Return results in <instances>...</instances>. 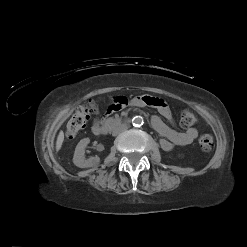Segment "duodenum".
<instances>
[{"instance_id": "410a0bca", "label": "duodenum", "mask_w": 247, "mask_h": 247, "mask_svg": "<svg viewBox=\"0 0 247 247\" xmlns=\"http://www.w3.org/2000/svg\"><path fill=\"white\" fill-rule=\"evenodd\" d=\"M126 120L119 117L108 118L98 129V134H106L116 126L121 125Z\"/></svg>"}]
</instances>
